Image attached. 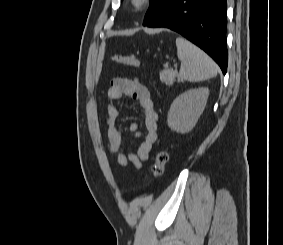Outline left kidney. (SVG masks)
<instances>
[{"mask_svg": "<svg viewBox=\"0 0 283 245\" xmlns=\"http://www.w3.org/2000/svg\"><path fill=\"white\" fill-rule=\"evenodd\" d=\"M208 96V88L192 89L179 95L168 112L167 122L171 130L178 133L191 131L204 111Z\"/></svg>", "mask_w": 283, "mask_h": 245, "instance_id": "obj_1", "label": "left kidney"}]
</instances>
